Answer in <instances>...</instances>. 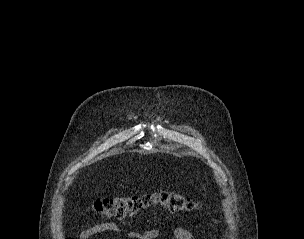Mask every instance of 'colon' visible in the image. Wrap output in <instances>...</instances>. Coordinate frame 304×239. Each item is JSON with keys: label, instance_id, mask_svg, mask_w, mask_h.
Returning a JSON list of instances; mask_svg holds the SVG:
<instances>
[{"label": "colon", "instance_id": "5ec220e1", "mask_svg": "<svg viewBox=\"0 0 304 239\" xmlns=\"http://www.w3.org/2000/svg\"><path fill=\"white\" fill-rule=\"evenodd\" d=\"M158 206L169 212H188L198 204L194 199L175 192H155L140 196L107 197L97 200L92 208L101 216L108 218L133 217L136 214Z\"/></svg>", "mask_w": 304, "mask_h": 239}]
</instances>
